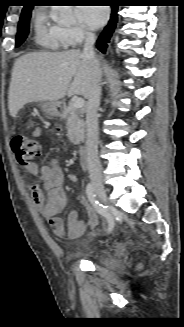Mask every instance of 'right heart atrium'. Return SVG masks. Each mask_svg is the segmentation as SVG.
Here are the masks:
<instances>
[{
    "label": "right heart atrium",
    "instance_id": "1",
    "mask_svg": "<svg viewBox=\"0 0 184 327\" xmlns=\"http://www.w3.org/2000/svg\"><path fill=\"white\" fill-rule=\"evenodd\" d=\"M63 36L66 46L77 47L91 36V32H89L82 25L78 24V25L66 27Z\"/></svg>",
    "mask_w": 184,
    "mask_h": 327
}]
</instances>
